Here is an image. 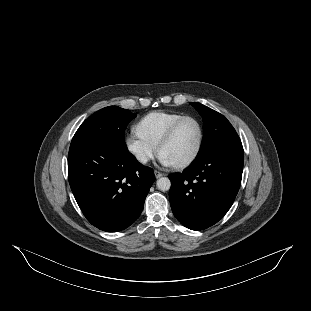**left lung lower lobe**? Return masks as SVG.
<instances>
[{"label":"left lung lower lobe","mask_w":311,"mask_h":311,"mask_svg":"<svg viewBox=\"0 0 311 311\" xmlns=\"http://www.w3.org/2000/svg\"><path fill=\"white\" fill-rule=\"evenodd\" d=\"M243 171V147L234 145L195 161L183 173L169 175L172 212L191 230L206 229L230 209Z\"/></svg>","instance_id":"0a47b994"}]
</instances>
